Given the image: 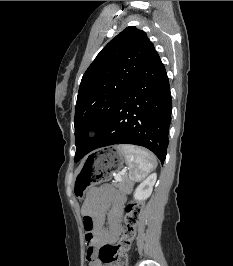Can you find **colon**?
I'll use <instances>...</instances> for the list:
<instances>
[{"label":"colon","mask_w":233,"mask_h":266,"mask_svg":"<svg viewBox=\"0 0 233 266\" xmlns=\"http://www.w3.org/2000/svg\"><path fill=\"white\" fill-rule=\"evenodd\" d=\"M141 211L142 204L139 201L130 202L126 206V230L116 245H103L98 249L97 254L102 263L114 262L115 266H127V251L134 239ZM91 225V218L84 216V226L89 229Z\"/></svg>","instance_id":"1"}]
</instances>
